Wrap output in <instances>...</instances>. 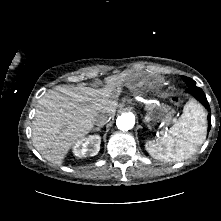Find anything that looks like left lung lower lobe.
Instances as JSON below:
<instances>
[{"instance_id":"1","label":"left lung lower lobe","mask_w":221,"mask_h":221,"mask_svg":"<svg viewBox=\"0 0 221 221\" xmlns=\"http://www.w3.org/2000/svg\"><path fill=\"white\" fill-rule=\"evenodd\" d=\"M186 92L191 93L197 100H199L207 110L210 109L207 98L203 90L196 85H190L186 89ZM211 128V115L208 114V131Z\"/></svg>"}]
</instances>
